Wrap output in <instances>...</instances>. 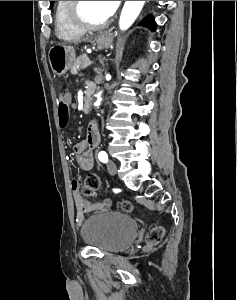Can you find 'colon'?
Masks as SVG:
<instances>
[{
  "instance_id": "1",
  "label": "colon",
  "mask_w": 237,
  "mask_h": 300,
  "mask_svg": "<svg viewBox=\"0 0 237 300\" xmlns=\"http://www.w3.org/2000/svg\"><path fill=\"white\" fill-rule=\"evenodd\" d=\"M64 93L60 95L63 98ZM58 115H59V122L60 126L66 128L70 121V110L69 104L65 99H61L59 102L58 107ZM100 186V178L96 174H88L85 177L84 184L81 189V193L85 197L93 196L96 191L99 189ZM122 209L125 212H132L134 210L133 205L128 202L124 201L122 203ZM164 236V229L162 227H154L150 230L147 235V242L149 246L157 245Z\"/></svg>"
}]
</instances>
